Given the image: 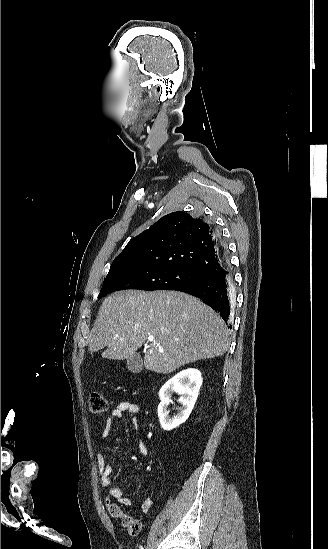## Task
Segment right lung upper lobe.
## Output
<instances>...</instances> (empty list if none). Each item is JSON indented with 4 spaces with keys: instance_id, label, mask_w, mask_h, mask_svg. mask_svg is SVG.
<instances>
[{
    "instance_id": "obj_1",
    "label": "right lung upper lobe",
    "mask_w": 328,
    "mask_h": 549,
    "mask_svg": "<svg viewBox=\"0 0 328 549\" xmlns=\"http://www.w3.org/2000/svg\"><path fill=\"white\" fill-rule=\"evenodd\" d=\"M219 247L212 226L185 212H173L131 239L114 259L109 272L142 263L186 268L211 276L223 271L225 264Z\"/></svg>"
}]
</instances>
